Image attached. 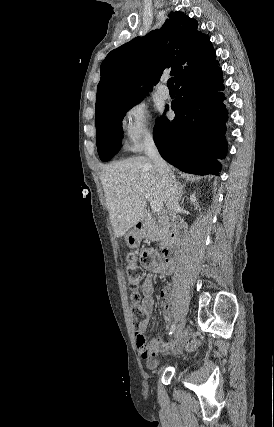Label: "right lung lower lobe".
<instances>
[{
  "label": "right lung lower lobe",
  "mask_w": 274,
  "mask_h": 427,
  "mask_svg": "<svg viewBox=\"0 0 274 427\" xmlns=\"http://www.w3.org/2000/svg\"><path fill=\"white\" fill-rule=\"evenodd\" d=\"M172 121L162 117L155 125L154 140L162 158L181 171L215 174L217 158L227 151L222 71L218 62L189 73L175 85ZM168 110V107H167Z\"/></svg>",
  "instance_id": "obj_1"
}]
</instances>
